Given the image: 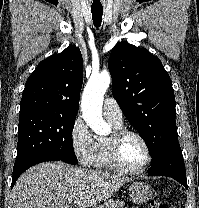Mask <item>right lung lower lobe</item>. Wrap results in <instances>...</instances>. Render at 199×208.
<instances>
[{
    "mask_svg": "<svg viewBox=\"0 0 199 208\" xmlns=\"http://www.w3.org/2000/svg\"><path fill=\"white\" fill-rule=\"evenodd\" d=\"M46 161H62L60 159L57 158H43V159H37L34 161H31L25 165H23L22 167H19L15 170H13V177H12V185L11 188L14 186V184L16 183V180L19 178V176L28 168H30L31 166L37 164V163H41V162H46Z\"/></svg>",
    "mask_w": 199,
    "mask_h": 208,
    "instance_id": "98d812e1",
    "label": "right lung lower lobe"
}]
</instances>
